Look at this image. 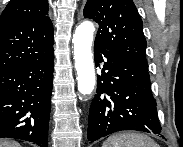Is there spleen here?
<instances>
[{"label":"spleen","mask_w":183,"mask_h":147,"mask_svg":"<svg viewBox=\"0 0 183 147\" xmlns=\"http://www.w3.org/2000/svg\"><path fill=\"white\" fill-rule=\"evenodd\" d=\"M102 147H159V145L147 135L124 132L107 138Z\"/></svg>","instance_id":"spleen-1"}]
</instances>
